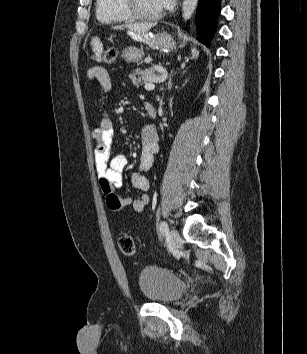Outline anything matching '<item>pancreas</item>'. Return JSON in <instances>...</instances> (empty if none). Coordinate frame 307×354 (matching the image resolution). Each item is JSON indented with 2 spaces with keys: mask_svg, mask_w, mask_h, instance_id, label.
Segmentation results:
<instances>
[{
  "mask_svg": "<svg viewBox=\"0 0 307 354\" xmlns=\"http://www.w3.org/2000/svg\"><path fill=\"white\" fill-rule=\"evenodd\" d=\"M156 69L154 67L148 69H135L132 73L129 74L133 85L135 87H140L143 84L149 83L152 79L156 78Z\"/></svg>",
  "mask_w": 307,
  "mask_h": 354,
  "instance_id": "obj_1",
  "label": "pancreas"
}]
</instances>
